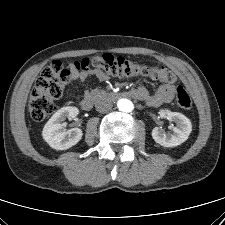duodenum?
<instances>
[{"instance_id": "duodenum-1", "label": "duodenum", "mask_w": 225, "mask_h": 225, "mask_svg": "<svg viewBox=\"0 0 225 225\" xmlns=\"http://www.w3.org/2000/svg\"><path fill=\"white\" fill-rule=\"evenodd\" d=\"M125 96H131L134 97L135 92H123L122 93ZM117 94L114 92H110V91H104V90H94L92 91L89 95H87L86 97H84L80 103V106L82 109L84 110H90L93 107V104L95 103V101L101 97L104 96H116Z\"/></svg>"}]
</instances>
